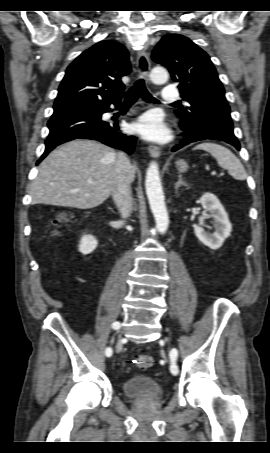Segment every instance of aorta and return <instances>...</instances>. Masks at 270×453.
<instances>
[{"label":"aorta","instance_id":"obj_1","mask_svg":"<svg viewBox=\"0 0 270 453\" xmlns=\"http://www.w3.org/2000/svg\"><path fill=\"white\" fill-rule=\"evenodd\" d=\"M168 77V72L163 67H155L150 73L151 80L156 84L166 82ZM145 188L150 208L156 221V228L163 234L167 231L169 218L159 176V167L156 162H151L147 169Z\"/></svg>","mask_w":270,"mask_h":453}]
</instances>
